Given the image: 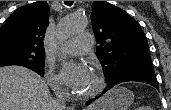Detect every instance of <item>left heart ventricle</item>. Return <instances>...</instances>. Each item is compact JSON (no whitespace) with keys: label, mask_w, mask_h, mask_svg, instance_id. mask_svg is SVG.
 I'll list each match as a JSON object with an SVG mask.
<instances>
[{"label":"left heart ventricle","mask_w":171,"mask_h":110,"mask_svg":"<svg viewBox=\"0 0 171 110\" xmlns=\"http://www.w3.org/2000/svg\"><path fill=\"white\" fill-rule=\"evenodd\" d=\"M96 86V77L93 72H90L82 87L77 91V94H86L92 91Z\"/></svg>","instance_id":"obj_1"}]
</instances>
